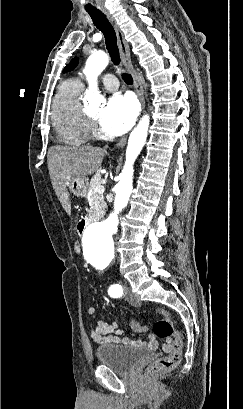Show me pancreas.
<instances>
[{
    "label": "pancreas",
    "mask_w": 243,
    "mask_h": 409,
    "mask_svg": "<svg viewBox=\"0 0 243 409\" xmlns=\"http://www.w3.org/2000/svg\"><path fill=\"white\" fill-rule=\"evenodd\" d=\"M101 184L99 173L95 174L90 181L87 202L90 205L89 215L91 219L100 220L104 214L107 204L104 201V196L95 191V188Z\"/></svg>",
    "instance_id": "1"
}]
</instances>
